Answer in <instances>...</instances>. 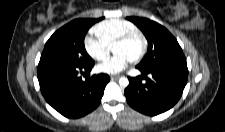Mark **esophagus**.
I'll use <instances>...</instances> for the list:
<instances>
[{"mask_svg": "<svg viewBox=\"0 0 225 132\" xmlns=\"http://www.w3.org/2000/svg\"><path fill=\"white\" fill-rule=\"evenodd\" d=\"M120 76L119 75H112L110 78L111 80H117Z\"/></svg>", "mask_w": 225, "mask_h": 132, "instance_id": "obj_1", "label": "esophagus"}]
</instances>
